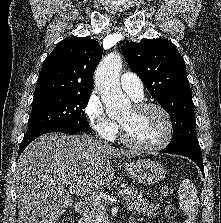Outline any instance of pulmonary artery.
<instances>
[{
    "label": "pulmonary artery",
    "instance_id": "1",
    "mask_svg": "<svg viewBox=\"0 0 221 223\" xmlns=\"http://www.w3.org/2000/svg\"><path fill=\"white\" fill-rule=\"evenodd\" d=\"M122 89L133 99L139 101L143 96V83L134 73L125 72L120 78Z\"/></svg>",
    "mask_w": 221,
    "mask_h": 223
}]
</instances>
